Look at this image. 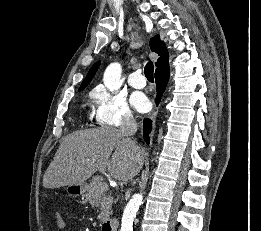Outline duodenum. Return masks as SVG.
Instances as JSON below:
<instances>
[{
    "mask_svg": "<svg viewBox=\"0 0 261 231\" xmlns=\"http://www.w3.org/2000/svg\"><path fill=\"white\" fill-rule=\"evenodd\" d=\"M118 226H119V223L117 220L115 219H112V220H109L107 222H105L103 225H102V231H118Z\"/></svg>",
    "mask_w": 261,
    "mask_h": 231,
    "instance_id": "1",
    "label": "duodenum"
}]
</instances>
